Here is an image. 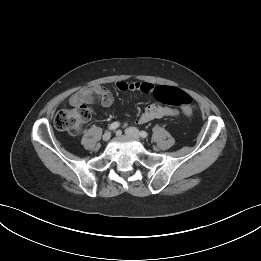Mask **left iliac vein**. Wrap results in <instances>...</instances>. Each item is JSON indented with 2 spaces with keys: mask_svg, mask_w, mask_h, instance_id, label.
Wrapping results in <instances>:
<instances>
[{
  "mask_svg": "<svg viewBox=\"0 0 261 261\" xmlns=\"http://www.w3.org/2000/svg\"><path fill=\"white\" fill-rule=\"evenodd\" d=\"M125 133L128 135V136H131L135 139H140V132L137 128L135 127H128L126 130H125Z\"/></svg>",
  "mask_w": 261,
  "mask_h": 261,
  "instance_id": "1",
  "label": "left iliac vein"
}]
</instances>
